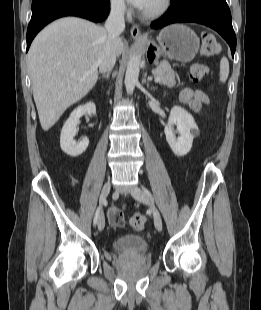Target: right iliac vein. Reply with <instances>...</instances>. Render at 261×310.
<instances>
[{
  "mask_svg": "<svg viewBox=\"0 0 261 310\" xmlns=\"http://www.w3.org/2000/svg\"><path fill=\"white\" fill-rule=\"evenodd\" d=\"M110 189H111V183H110V181H108L105 183V185L103 186L102 191H101V195H100V204L101 205H103L105 203L106 198L110 192ZM97 224H98V229L100 231H102L104 229V226H105V218H104V214L102 211L99 214Z\"/></svg>",
  "mask_w": 261,
  "mask_h": 310,
  "instance_id": "obj_1",
  "label": "right iliac vein"
}]
</instances>
